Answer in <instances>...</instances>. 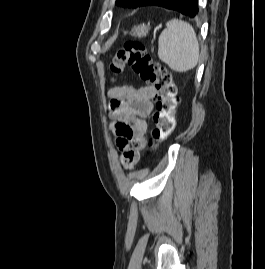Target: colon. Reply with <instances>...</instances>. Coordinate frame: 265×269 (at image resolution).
I'll return each mask as SVG.
<instances>
[{
    "label": "colon",
    "mask_w": 265,
    "mask_h": 269,
    "mask_svg": "<svg viewBox=\"0 0 265 269\" xmlns=\"http://www.w3.org/2000/svg\"><path fill=\"white\" fill-rule=\"evenodd\" d=\"M126 67H129L142 82L152 85L155 89V126L152 131V143L161 144L175 128L177 89L172 75L156 62L147 53L145 46L138 41H127L116 51L110 64L112 76H120ZM116 133L129 139L133 137L132 128L123 122L117 125Z\"/></svg>",
    "instance_id": "5ec220e1"
}]
</instances>
